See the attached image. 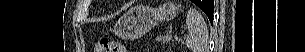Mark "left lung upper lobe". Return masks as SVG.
Listing matches in <instances>:
<instances>
[{"label": "left lung upper lobe", "instance_id": "left-lung-upper-lobe-1", "mask_svg": "<svg viewBox=\"0 0 305 52\" xmlns=\"http://www.w3.org/2000/svg\"><path fill=\"white\" fill-rule=\"evenodd\" d=\"M196 5H198L200 8L205 7V1L206 0H192Z\"/></svg>", "mask_w": 305, "mask_h": 52}]
</instances>
